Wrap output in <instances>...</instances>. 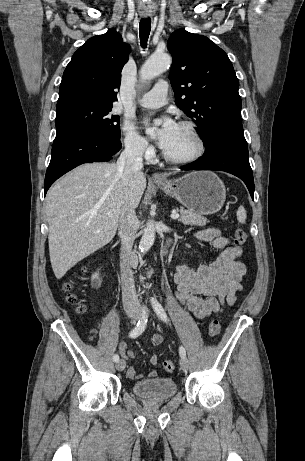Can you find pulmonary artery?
<instances>
[{"label": "pulmonary artery", "instance_id": "obj_1", "mask_svg": "<svg viewBox=\"0 0 305 461\" xmlns=\"http://www.w3.org/2000/svg\"><path fill=\"white\" fill-rule=\"evenodd\" d=\"M168 83L165 80L157 82L154 87L143 95L140 104L146 108H158L166 104Z\"/></svg>", "mask_w": 305, "mask_h": 461}]
</instances>
